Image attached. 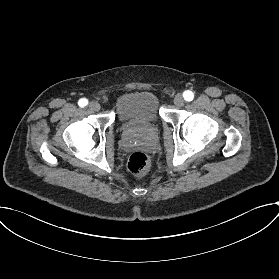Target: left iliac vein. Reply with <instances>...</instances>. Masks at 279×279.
<instances>
[{"instance_id":"left-iliac-vein-1","label":"left iliac vein","mask_w":279,"mask_h":279,"mask_svg":"<svg viewBox=\"0 0 279 279\" xmlns=\"http://www.w3.org/2000/svg\"><path fill=\"white\" fill-rule=\"evenodd\" d=\"M174 104L177 106V107H182L184 105V99H183V96L181 94H177L175 97H174Z\"/></svg>"}]
</instances>
